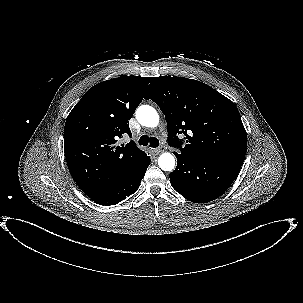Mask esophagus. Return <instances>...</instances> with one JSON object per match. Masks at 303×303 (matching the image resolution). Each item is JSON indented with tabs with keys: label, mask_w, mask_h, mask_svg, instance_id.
Wrapping results in <instances>:
<instances>
[{
	"label": "esophagus",
	"mask_w": 303,
	"mask_h": 303,
	"mask_svg": "<svg viewBox=\"0 0 303 303\" xmlns=\"http://www.w3.org/2000/svg\"><path fill=\"white\" fill-rule=\"evenodd\" d=\"M164 151V148L161 146V147H159V148H157V149H154V153L156 154V155H158V154H160V153H162Z\"/></svg>",
	"instance_id": "34e87169"
}]
</instances>
